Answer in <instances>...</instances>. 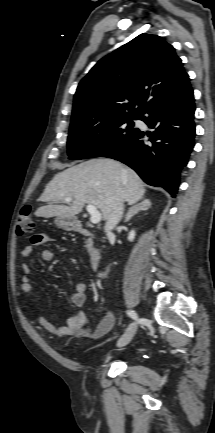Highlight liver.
<instances>
[{"mask_svg":"<svg viewBox=\"0 0 215 433\" xmlns=\"http://www.w3.org/2000/svg\"><path fill=\"white\" fill-rule=\"evenodd\" d=\"M144 194V184L132 169L112 159H91L55 175L40 197L50 203L38 208L35 215L74 218L85 204H91L107 220L118 204L132 205ZM66 197L72 198L69 206L54 204Z\"/></svg>","mask_w":215,"mask_h":433,"instance_id":"1","label":"liver"}]
</instances>
